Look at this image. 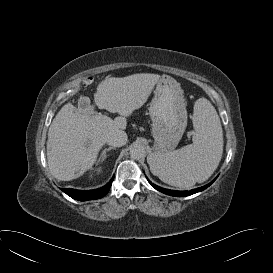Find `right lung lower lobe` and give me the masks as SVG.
I'll list each match as a JSON object with an SVG mask.
<instances>
[{
	"instance_id": "98d812e1",
	"label": "right lung lower lobe",
	"mask_w": 273,
	"mask_h": 273,
	"mask_svg": "<svg viewBox=\"0 0 273 273\" xmlns=\"http://www.w3.org/2000/svg\"><path fill=\"white\" fill-rule=\"evenodd\" d=\"M113 179L114 177L110 180V182L106 186L100 189L83 191V190H76V189H70V188L68 189L62 188L61 190L65 192L68 196H70L71 198L79 200V201L100 199L108 193L112 185Z\"/></svg>"
}]
</instances>
